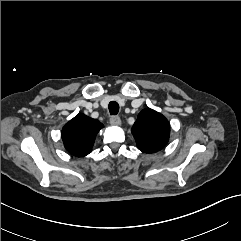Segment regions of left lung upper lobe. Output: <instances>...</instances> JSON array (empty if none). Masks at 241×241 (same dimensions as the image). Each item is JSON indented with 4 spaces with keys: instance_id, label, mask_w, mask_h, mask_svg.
I'll return each instance as SVG.
<instances>
[{
    "instance_id": "left-lung-upper-lobe-1",
    "label": "left lung upper lobe",
    "mask_w": 241,
    "mask_h": 241,
    "mask_svg": "<svg viewBox=\"0 0 241 241\" xmlns=\"http://www.w3.org/2000/svg\"><path fill=\"white\" fill-rule=\"evenodd\" d=\"M131 132L140 151L154 153L167 144L170 125L162 114L147 108L140 112Z\"/></svg>"
}]
</instances>
